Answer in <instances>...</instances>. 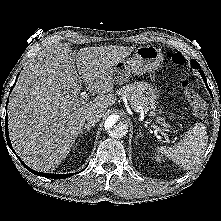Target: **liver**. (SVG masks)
I'll return each mask as SVG.
<instances>
[{
    "label": "liver",
    "instance_id": "obj_1",
    "mask_svg": "<svg viewBox=\"0 0 221 221\" xmlns=\"http://www.w3.org/2000/svg\"><path fill=\"white\" fill-rule=\"evenodd\" d=\"M134 47L117 45L80 49L67 43L42 50L20 73L8 104L12 146L31 168L50 171L69 154L93 110L115 103L113 70ZM83 86L99 95L80 96ZM80 96V97H79Z\"/></svg>",
    "mask_w": 221,
    "mask_h": 221
}]
</instances>
